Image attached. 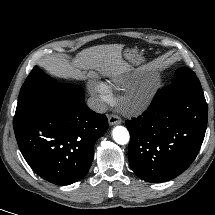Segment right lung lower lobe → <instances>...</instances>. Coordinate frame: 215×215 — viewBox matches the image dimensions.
<instances>
[{"label":"right lung lower lobe","mask_w":215,"mask_h":215,"mask_svg":"<svg viewBox=\"0 0 215 215\" xmlns=\"http://www.w3.org/2000/svg\"><path fill=\"white\" fill-rule=\"evenodd\" d=\"M107 128L106 116L85 105L81 87L58 84L14 131L29 166L53 184L68 185L89 171L94 144Z\"/></svg>","instance_id":"right-lung-lower-lobe-1"}]
</instances>
